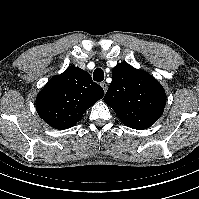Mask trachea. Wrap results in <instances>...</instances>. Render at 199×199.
Masks as SVG:
<instances>
[{
    "label": "trachea",
    "mask_w": 199,
    "mask_h": 199,
    "mask_svg": "<svg viewBox=\"0 0 199 199\" xmlns=\"http://www.w3.org/2000/svg\"><path fill=\"white\" fill-rule=\"evenodd\" d=\"M93 79L96 82H101L104 80V72L101 68H96L93 73Z\"/></svg>",
    "instance_id": "1"
}]
</instances>
